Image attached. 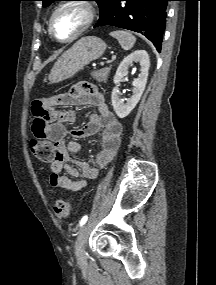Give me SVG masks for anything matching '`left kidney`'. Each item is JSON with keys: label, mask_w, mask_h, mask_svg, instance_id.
<instances>
[{"label": "left kidney", "mask_w": 216, "mask_h": 285, "mask_svg": "<svg viewBox=\"0 0 216 285\" xmlns=\"http://www.w3.org/2000/svg\"><path fill=\"white\" fill-rule=\"evenodd\" d=\"M133 62H139L141 67V72L138 78L132 83L133 85V95L124 103L119 99V83L123 77L128 75V68ZM150 67V60L148 53L145 50H136L130 55H128L119 65L116 74L114 76L115 87L112 91L111 100L115 113L119 118L127 117L130 112L135 108L139 102L148 78V70Z\"/></svg>", "instance_id": "left-kidney-1"}]
</instances>
